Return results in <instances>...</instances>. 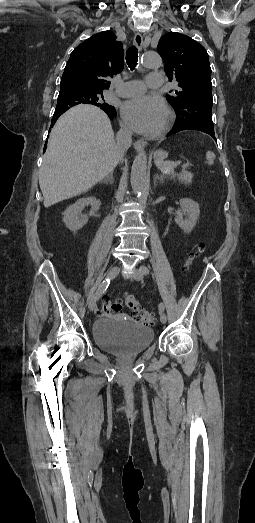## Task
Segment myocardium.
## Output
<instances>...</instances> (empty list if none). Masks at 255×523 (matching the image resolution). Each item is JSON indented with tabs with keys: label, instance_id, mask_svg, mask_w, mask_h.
I'll list each match as a JSON object with an SVG mask.
<instances>
[{
	"label": "myocardium",
	"instance_id": "obj_1",
	"mask_svg": "<svg viewBox=\"0 0 255 523\" xmlns=\"http://www.w3.org/2000/svg\"><path fill=\"white\" fill-rule=\"evenodd\" d=\"M166 112H167V116H168L167 122H166L164 128L162 129V131L160 132L159 136H163L166 133H168L175 121V113H174L173 109L171 107L167 106Z\"/></svg>",
	"mask_w": 255,
	"mask_h": 523
}]
</instances>
